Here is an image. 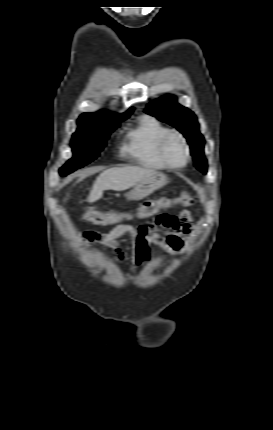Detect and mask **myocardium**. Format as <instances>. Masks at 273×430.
Segmentation results:
<instances>
[{
	"instance_id": "obj_1",
	"label": "myocardium",
	"mask_w": 273,
	"mask_h": 430,
	"mask_svg": "<svg viewBox=\"0 0 273 430\" xmlns=\"http://www.w3.org/2000/svg\"><path fill=\"white\" fill-rule=\"evenodd\" d=\"M172 137H177L181 140L183 146H184V150H185V156H184V160L181 163H173L169 160V158L166 155V144L168 142V140ZM158 152H159V156L161 158V160L170 168H182L184 166L187 165V163L190 161L191 158V151H190V146L189 143L186 139V137L178 132V131H174L171 130L169 132H167L160 140L159 142V146H158Z\"/></svg>"
}]
</instances>
